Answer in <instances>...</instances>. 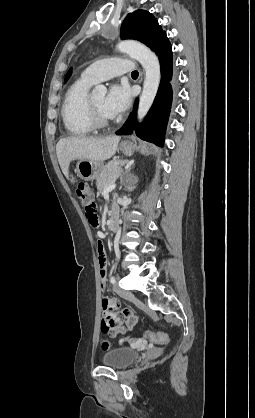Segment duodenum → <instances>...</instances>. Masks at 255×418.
<instances>
[{"instance_id":"duodenum-1","label":"duodenum","mask_w":255,"mask_h":418,"mask_svg":"<svg viewBox=\"0 0 255 418\" xmlns=\"http://www.w3.org/2000/svg\"><path fill=\"white\" fill-rule=\"evenodd\" d=\"M107 229L111 232H117L119 230V211L117 207H113L110 212L107 220Z\"/></svg>"}]
</instances>
